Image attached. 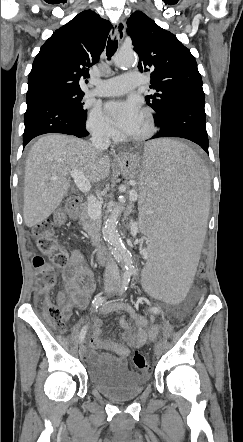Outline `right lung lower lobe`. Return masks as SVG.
Returning a JSON list of instances; mask_svg holds the SVG:
<instances>
[{
	"mask_svg": "<svg viewBox=\"0 0 243 442\" xmlns=\"http://www.w3.org/2000/svg\"><path fill=\"white\" fill-rule=\"evenodd\" d=\"M23 147L34 137L46 133H63L85 137L86 119L79 117L72 105L53 93H37L26 98Z\"/></svg>",
	"mask_w": 243,
	"mask_h": 442,
	"instance_id": "1",
	"label": "right lung lower lobe"
}]
</instances>
